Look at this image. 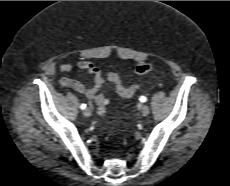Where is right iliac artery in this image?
I'll list each match as a JSON object with an SVG mask.
<instances>
[{"instance_id":"obj_1","label":"right iliac artery","mask_w":230,"mask_h":186,"mask_svg":"<svg viewBox=\"0 0 230 186\" xmlns=\"http://www.w3.org/2000/svg\"><path fill=\"white\" fill-rule=\"evenodd\" d=\"M80 108L83 110V109H85L86 108V104H81L80 105Z\"/></svg>"}]
</instances>
